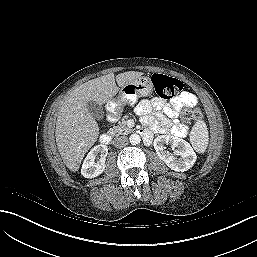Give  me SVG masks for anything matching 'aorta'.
I'll list each match as a JSON object with an SVG mask.
<instances>
[{
  "label": "aorta",
  "instance_id": "obj_1",
  "mask_svg": "<svg viewBox=\"0 0 257 257\" xmlns=\"http://www.w3.org/2000/svg\"><path fill=\"white\" fill-rule=\"evenodd\" d=\"M129 141L132 145H137L140 143L141 141V137L138 135V134H132L130 137H129Z\"/></svg>",
  "mask_w": 257,
  "mask_h": 257
}]
</instances>
